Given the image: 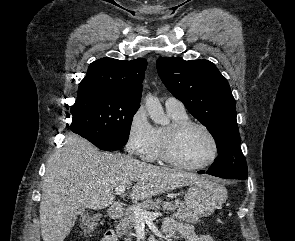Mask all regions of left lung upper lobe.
Segmentation results:
<instances>
[{"label": "left lung upper lobe", "instance_id": "left-lung-upper-lobe-1", "mask_svg": "<svg viewBox=\"0 0 295 241\" xmlns=\"http://www.w3.org/2000/svg\"><path fill=\"white\" fill-rule=\"evenodd\" d=\"M157 70L167 89L214 137L219 156L209 170L246 179L248 169L240 148L235 99L215 64L208 60L160 57Z\"/></svg>", "mask_w": 295, "mask_h": 241}]
</instances>
